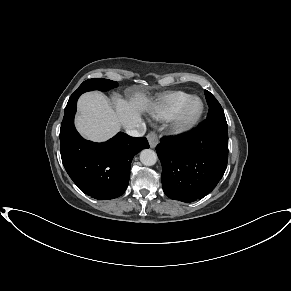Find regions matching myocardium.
Segmentation results:
<instances>
[{
    "instance_id": "obj_1",
    "label": "myocardium",
    "mask_w": 291,
    "mask_h": 291,
    "mask_svg": "<svg viewBox=\"0 0 291 291\" xmlns=\"http://www.w3.org/2000/svg\"><path fill=\"white\" fill-rule=\"evenodd\" d=\"M194 102L199 103V108L194 114H190ZM205 110L203 100L198 96H192L172 118V128L176 133H185L192 130L199 123Z\"/></svg>"
}]
</instances>
